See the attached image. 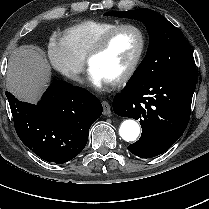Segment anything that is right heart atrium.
I'll list each match as a JSON object with an SVG mask.
<instances>
[{"instance_id": "right-heart-atrium-1", "label": "right heart atrium", "mask_w": 209, "mask_h": 209, "mask_svg": "<svg viewBox=\"0 0 209 209\" xmlns=\"http://www.w3.org/2000/svg\"><path fill=\"white\" fill-rule=\"evenodd\" d=\"M47 56L59 73L75 82H82L84 60L73 53L63 36L54 35L50 38Z\"/></svg>"}]
</instances>
